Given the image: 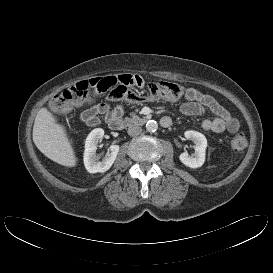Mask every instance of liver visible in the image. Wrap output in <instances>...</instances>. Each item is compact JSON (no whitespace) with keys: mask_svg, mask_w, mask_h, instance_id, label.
Returning <instances> with one entry per match:
<instances>
[{"mask_svg":"<svg viewBox=\"0 0 273 273\" xmlns=\"http://www.w3.org/2000/svg\"><path fill=\"white\" fill-rule=\"evenodd\" d=\"M33 142L54 162L67 167L77 165V157L65 127L58 123L57 118L46 107H42L36 115Z\"/></svg>","mask_w":273,"mask_h":273,"instance_id":"liver-1","label":"liver"}]
</instances>
